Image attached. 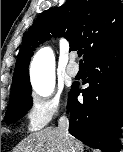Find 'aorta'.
<instances>
[{"instance_id": "obj_1", "label": "aorta", "mask_w": 123, "mask_h": 152, "mask_svg": "<svg viewBox=\"0 0 123 152\" xmlns=\"http://www.w3.org/2000/svg\"><path fill=\"white\" fill-rule=\"evenodd\" d=\"M31 82L34 91L48 97L55 87V57L51 48L43 47L35 54L31 63Z\"/></svg>"}]
</instances>
